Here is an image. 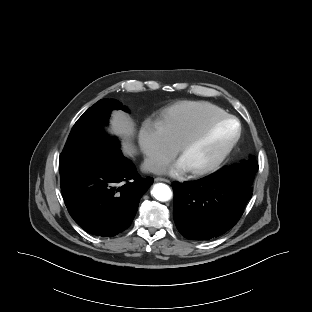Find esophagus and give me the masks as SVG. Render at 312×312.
<instances>
[{"label": "esophagus", "mask_w": 312, "mask_h": 312, "mask_svg": "<svg viewBox=\"0 0 312 312\" xmlns=\"http://www.w3.org/2000/svg\"><path fill=\"white\" fill-rule=\"evenodd\" d=\"M155 181L156 182L162 181V182L170 183V180H168L166 178H162V177L155 178Z\"/></svg>", "instance_id": "1"}]
</instances>
